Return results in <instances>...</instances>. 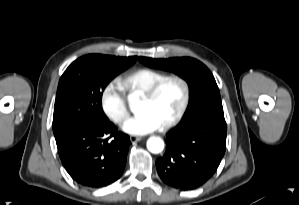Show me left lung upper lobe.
<instances>
[{
    "mask_svg": "<svg viewBox=\"0 0 299 205\" xmlns=\"http://www.w3.org/2000/svg\"><path fill=\"white\" fill-rule=\"evenodd\" d=\"M146 66L178 74L190 87V102L182 118L190 122L215 111H223L219 88L210 70L200 61L189 58L152 59L139 57Z\"/></svg>",
    "mask_w": 299,
    "mask_h": 205,
    "instance_id": "5c2ea615",
    "label": "left lung upper lobe"
}]
</instances>
